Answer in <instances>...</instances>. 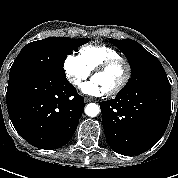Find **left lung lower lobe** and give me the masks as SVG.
Wrapping results in <instances>:
<instances>
[{
    "mask_svg": "<svg viewBox=\"0 0 178 178\" xmlns=\"http://www.w3.org/2000/svg\"><path fill=\"white\" fill-rule=\"evenodd\" d=\"M99 104L109 146L122 155H138L153 147L167 129L170 85L123 89L115 99Z\"/></svg>",
    "mask_w": 178,
    "mask_h": 178,
    "instance_id": "1",
    "label": "left lung lower lobe"
}]
</instances>
